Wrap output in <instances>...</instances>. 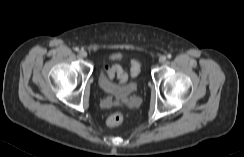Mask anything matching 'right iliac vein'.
I'll return each instance as SVG.
<instances>
[{
    "instance_id": "obj_1",
    "label": "right iliac vein",
    "mask_w": 244,
    "mask_h": 157,
    "mask_svg": "<svg viewBox=\"0 0 244 157\" xmlns=\"http://www.w3.org/2000/svg\"><path fill=\"white\" fill-rule=\"evenodd\" d=\"M80 56H81L82 58L87 57V52H86L85 50H81V51H80Z\"/></svg>"
}]
</instances>
